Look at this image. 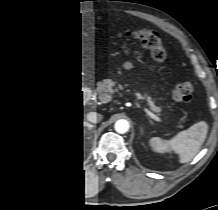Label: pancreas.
I'll return each mask as SVG.
<instances>
[{
    "label": "pancreas",
    "mask_w": 218,
    "mask_h": 210,
    "mask_svg": "<svg viewBox=\"0 0 218 210\" xmlns=\"http://www.w3.org/2000/svg\"><path fill=\"white\" fill-rule=\"evenodd\" d=\"M115 83L112 82L111 80L108 81V89L109 91H111L112 93H117L119 96H123L124 93L119 92L120 90L123 89L122 86H118L117 88H114ZM130 95H134L136 97V100H141V99H145L147 102V105L150 107V109L155 112L158 113L160 115L161 112V107L155 105L154 100L148 96L146 93H144L143 95L139 92H134V93H130Z\"/></svg>",
    "instance_id": "pancreas-1"
}]
</instances>
